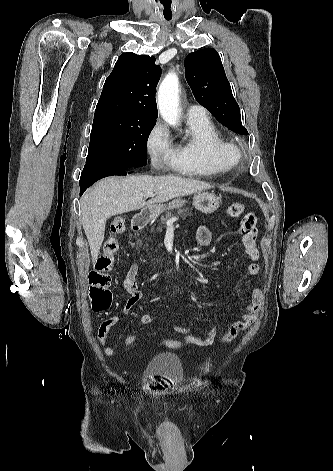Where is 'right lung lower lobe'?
<instances>
[{
  "instance_id": "1",
  "label": "right lung lower lobe",
  "mask_w": 333,
  "mask_h": 471,
  "mask_svg": "<svg viewBox=\"0 0 333 471\" xmlns=\"http://www.w3.org/2000/svg\"><path fill=\"white\" fill-rule=\"evenodd\" d=\"M127 171L126 168L118 167H84L80 177V195L99 179L112 175H126Z\"/></svg>"
}]
</instances>
